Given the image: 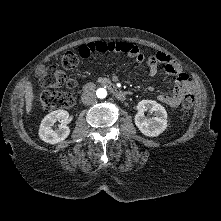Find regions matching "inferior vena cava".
<instances>
[{
  "mask_svg": "<svg viewBox=\"0 0 221 221\" xmlns=\"http://www.w3.org/2000/svg\"><path fill=\"white\" fill-rule=\"evenodd\" d=\"M82 102L85 105H92L96 102V96L93 92H86L82 96Z\"/></svg>",
  "mask_w": 221,
  "mask_h": 221,
  "instance_id": "inferior-vena-cava-1",
  "label": "inferior vena cava"
}]
</instances>
